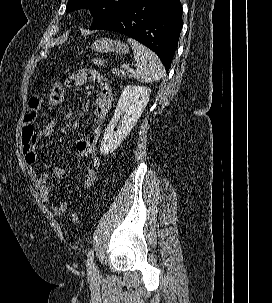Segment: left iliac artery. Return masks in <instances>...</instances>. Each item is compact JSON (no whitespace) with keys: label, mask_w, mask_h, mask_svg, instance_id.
<instances>
[{"label":"left iliac artery","mask_w":272,"mask_h":303,"mask_svg":"<svg viewBox=\"0 0 272 303\" xmlns=\"http://www.w3.org/2000/svg\"><path fill=\"white\" fill-rule=\"evenodd\" d=\"M93 259H94V250L91 249L87 255V269L88 270H91L92 268H94Z\"/></svg>","instance_id":"obj_1"}]
</instances>
